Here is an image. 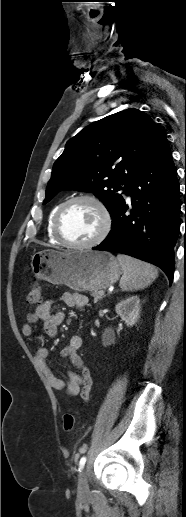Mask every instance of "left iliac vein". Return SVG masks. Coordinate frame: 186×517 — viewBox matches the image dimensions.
I'll list each match as a JSON object with an SVG mask.
<instances>
[{
    "label": "left iliac vein",
    "instance_id": "1",
    "mask_svg": "<svg viewBox=\"0 0 186 517\" xmlns=\"http://www.w3.org/2000/svg\"><path fill=\"white\" fill-rule=\"evenodd\" d=\"M88 491H89V486H88L87 474H86V470L83 469L80 472L79 477H78V493L80 496H84L88 493Z\"/></svg>",
    "mask_w": 186,
    "mask_h": 517
}]
</instances>
